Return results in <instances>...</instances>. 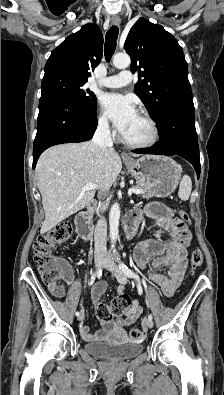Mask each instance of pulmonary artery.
Returning a JSON list of instances; mask_svg holds the SVG:
<instances>
[{"label": "pulmonary artery", "mask_w": 224, "mask_h": 395, "mask_svg": "<svg viewBox=\"0 0 224 395\" xmlns=\"http://www.w3.org/2000/svg\"><path fill=\"white\" fill-rule=\"evenodd\" d=\"M131 80V72L129 70H123L117 75L101 79L100 84L107 88H120L129 84Z\"/></svg>", "instance_id": "e3ab8cb5"}]
</instances>
